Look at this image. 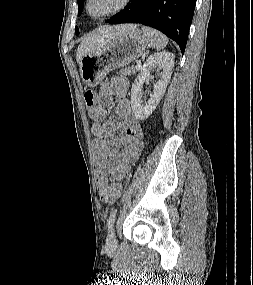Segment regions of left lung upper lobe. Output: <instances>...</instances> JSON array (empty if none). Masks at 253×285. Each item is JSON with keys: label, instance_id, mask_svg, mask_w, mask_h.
Listing matches in <instances>:
<instances>
[{"label": "left lung upper lobe", "instance_id": "left-lung-upper-lobe-1", "mask_svg": "<svg viewBox=\"0 0 253 285\" xmlns=\"http://www.w3.org/2000/svg\"><path fill=\"white\" fill-rule=\"evenodd\" d=\"M77 2H78V7H79V13H78V15H80V14L82 13L84 0H77ZM76 34H77V35L79 34V30H78L77 27H76Z\"/></svg>", "mask_w": 253, "mask_h": 285}]
</instances>
